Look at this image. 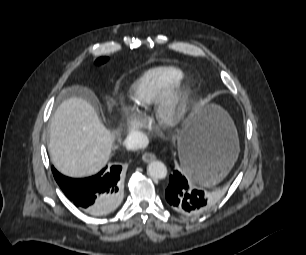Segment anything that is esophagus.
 <instances>
[{"mask_svg": "<svg viewBox=\"0 0 306 255\" xmlns=\"http://www.w3.org/2000/svg\"><path fill=\"white\" fill-rule=\"evenodd\" d=\"M142 159L144 162L148 163V162L154 161L156 159V156L153 153L146 152L142 155Z\"/></svg>", "mask_w": 306, "mask_h": 255, "instance_id": "1", "label": "esophagus"}]
</instances>
